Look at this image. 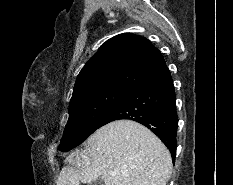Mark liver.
Returning a JSON list of instances; mask_svg holds the SVG:
<instances>
[{"instance_id":"liver-1","label":"liver","mask_w":233,"mask_h":185,"mask_svg":"<svg viewBox=\"0 0 233 185\" xmlns=\"http://www.w3.org/2000/svg\"><path fill=\"white\" fill-rule=\"evenodd\" d=\"M56 185H166L172 159L161 140L145 126L117 120L96 130L84 149L66 157Z\"/></svg>"}]
</instances>
